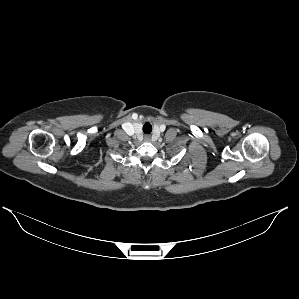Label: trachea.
<instances>
[{
	"label": "trachea",
	"mask_w": 299,
	"mask_h": 299,
	"mask_svg": "<svg viewBox=\"0 0 299 299\" xmlns=\"http://www.w3.org/2000/svg\"><path fill=\"white\" fill-rule=\"evenodd\" d=\"M143 132L145 134H150L152 132V125L149 122H145L143 125Z\"/></svg>",
	"instance_id": "1"
}]
</instances>
